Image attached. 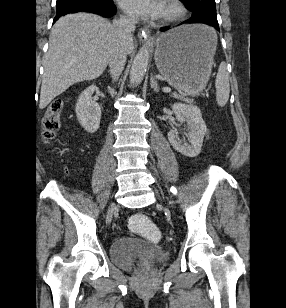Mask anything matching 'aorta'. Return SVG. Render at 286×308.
<instances>
[{
    "label": "aorta",
    "mask_w": 286,
    "mask_h": 308,
    "mask_svg": "<svg viewBox=\"0 0 286 308\" xmlns=\"http://www.w3.org/2000/svg\"><path fill=\"white\" fill-rule=\"evenodd\" d=\"M150 59V49L148 47L141 48L135 56L130 69V82L139 84L142 82L147 70Z\"/></svg>",
    "instance_id": "aorta-1"
}]
</instances>
